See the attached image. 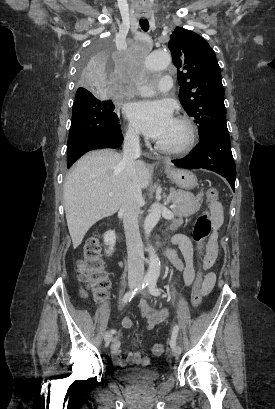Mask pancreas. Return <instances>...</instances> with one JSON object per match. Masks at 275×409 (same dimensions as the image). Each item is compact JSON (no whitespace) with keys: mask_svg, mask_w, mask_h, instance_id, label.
I'll return each instance as SVG.
<instances>
[{"mask_svg":"<svg viewBox=\"0 0 275 409\" xmlns=\"http://www.w3.org/2000/svg\"><path fill=\"white\" fill-rule=\"evenodd\" d=\"M204 192H199L197 196H194L192 192H188V190H176L171 186L170 188V196L172 202H174V209H172L174 215L177 217H190V215H194L199 211L201 205L199 200H202Z\"/></svg>","mask_w":275,"mask_h":409,"instance_id":"1","label":"pancreas"}]
</instances>
